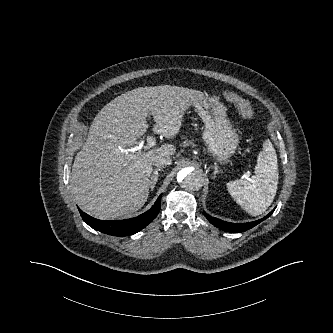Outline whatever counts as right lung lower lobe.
I'll use <instances>...</instances> for the list:
<instances>
[{"label": "right lung lower lobe", "mask_w": 333, "mask_h": 333, "mask_svg": "<svg viewBox=\"0 0 333 333\" xmlns=\"http://www.w3.org/2000/svg\"><path fill=\"white\" fill-rule=\"evenodd\" d=\"M161 196L162 194L150 210L131 219L103 221L89 216L80 209L79 212L84 222L93 229L113 236H127L139 232L157 216L160 210Z\"/></svg>", "instance_id": "obj_1"}]
</instances>
